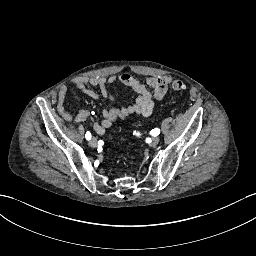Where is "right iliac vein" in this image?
<instances>
[{
    "label": "right iliac vein",
    "mask_w": 256,
    "mask_h": 256,
    "mask_svg": "<svg viewBox=\"0 0 256 256\" xmlns=\"http://www.w3.org/2000/svg\"><path fill=\"white\" fill-rule=\"evenodd\" d=\"M89 144L91 147L95 148L97 146V139L93 137L90 139Z\"/></svg>",
    "instance_id": "right-iliac-vein-1"
}]
</instances>
